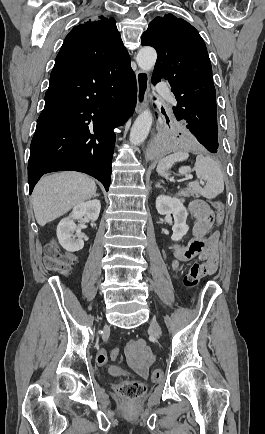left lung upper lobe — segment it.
Segmentation results:
<instances>
[{
	"instance_id": "obj_1",
	"label": "left lung upper lobe",
	"mask_w": 265,
	"mask_h": 434,
	"mask_svg": "<svg viewBox=\"0 0 265 434\" xmlns=\"http://www.w3.org/2000/svg\"><path fill=\"white\" fill-rule=\"evenodd\" d=\"M142 45L156 49L152 83L169 81L177 106L173 112L190 128H217L216 90L207 48L198 31L172 14L149 23Z\"/></svg>"
}]
</instances>
